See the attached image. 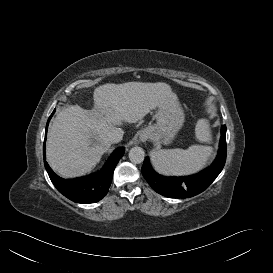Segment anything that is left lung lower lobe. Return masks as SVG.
<instances>
[{"label":"left lung lower lobe","mask_w":273,"mask_h":273,"mask_svg":"<svg viewBox=\"0 0 273 273\" xmlns=\"http://www.w3.org/2000/svg\"><path fill=\"white\" fill-rule=\"evenodd\" d=\"M219 152L212 165L203 171L184 177H166L158 174L145 158L142 174L159 194L170 198H187L203 192L220 174L226 161V126L221 127Z\"/></svg>","instance_id":"1"}]
</instances>
